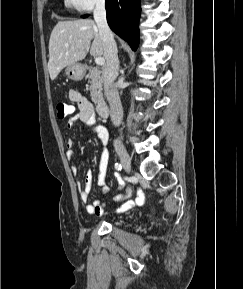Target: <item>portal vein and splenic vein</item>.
<instances>
[{
    "label": "portal vein and splenic vein",
    "instance_id": "1",
    "mask_svg": "<svg viewBox=\"0 0 243 289\" xmlns=\"http://www.w3.org/2000/svg\"><path fill=\"white\" fill-rule=\"evenodd\" d=\"M65 46H68V44H65ZM95 63H96L97 65H99V66H102V65L105 64V60H104L103 57H97V58L95 59Z\"/></svg>",
    "mask_w": 243,
    "mask_h": 289
}]
</instances>
